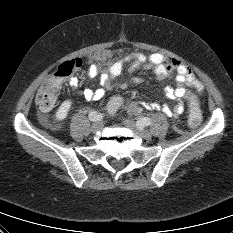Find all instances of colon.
I'll return each instance as SVG.
<instances>
[{
  "label": "colon",
  "mask_w": 233,
  "mask_h": 233,
  "mask_svg": "<svg viewBox=\"0 0 233 233\" xmlns=\"http://www.w3.org/2000/svg\"><path fill=\"white\" fill-rule=\"evenodd\" d=\"M82 66L83 63L80 59L66 61L42 84L36 95V104L41 111H49L54 106L56 94L62 80L74 75ZM121 103L122 98L120 96H115L109 103V111L111 113L115 112ZM189 104L190 115L188 123L191 128H196L201 122V112L194 95H191Z\"/></svg>",
  "instance_id": "1"
}]
</instances>
